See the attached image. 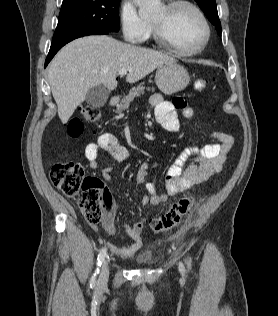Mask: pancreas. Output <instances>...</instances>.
Segmentation results:
<instances>
[{
    "label": "pancreas",
    "instance_id": "obj_1",
    "mask_svg": "<svg viewBox=\"0 0 278 316\" xmlns=\"http://www.w3.org/2000/svg\"><path fill=\"white\" fill-rule=\"evenodd\" d=\"M144 83H140L137 87H133L127 96L122 99L121 103L118 105L116 112L121 113L123 110L129 107V104L136 98L139 97L141 94L144 93L145 87L143 86ZM153 90V89H152Z\"/></svg>",
    "mask_w": 278,
    "mask_h": 316
}]
</instances>
